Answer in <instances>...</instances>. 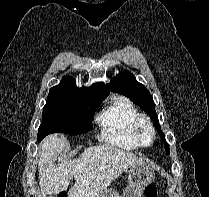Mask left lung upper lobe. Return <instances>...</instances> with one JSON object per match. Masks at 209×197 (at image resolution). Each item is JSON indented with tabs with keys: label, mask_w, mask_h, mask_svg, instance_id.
Instances as JSON below:
<instances>
[{
	"label": "left lung upper lobe",
	"mask_w": 209,
	"mask_h": 197,
	"mask_svg": "<svg viewBox=\"0 0 209 197\" xmlns=\"http://www.w3.org/2000/svg\"><path fill=\"white\" fill-rule=\"evenodd\" d=\"M107 87L113 92L129 97L135 104L139 105L141 109L150 115L155 122L160 137L164 141L165 150L169 154V144L166 142L165 135L160 129L158 116L155 111V103L148 89L143 84L138 83L134 75L127 71L116 75V77L107 84Z\"/></svg>",
	"instance_id": "1"
}]
</instances>
